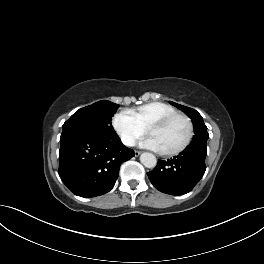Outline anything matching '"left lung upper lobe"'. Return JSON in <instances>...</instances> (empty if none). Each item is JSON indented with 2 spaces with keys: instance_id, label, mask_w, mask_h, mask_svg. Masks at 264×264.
I'll return each mask as SVG.
<instances>
[{
  "instance_id": "5c2ea615",
  "label": "left lung upper lobe",
  "mask_w": 264,
  "mask_h": 264,
  "mask_svg": "<svg viewBox=\"0 0 264 264\" xmlns=\"http://www.w3.org/2000/svg\"><path fill=\"white\" fill-rule=\"evenodd\" d=\"M170 104L176 106L177 108L185 112L193 122L195 136L190 145L206 146V142L207 139L209 138V134L207 132V127L203 122L202 116L195 109L171 101Z\"/></svg>"
}]
</instances>
